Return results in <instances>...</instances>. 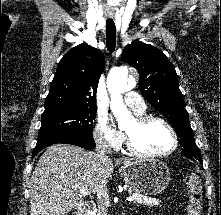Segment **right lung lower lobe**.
<instances>
[{"label": "right lung lower lobe", "instance_id": "obj_1", "mask_svg": "<svg viewBox=\"0 0 221 215\" xmlns=\"http://www.w3.org/2000/svg\"><path fill=\"white\" fill-rule=\"evenodd\" d=\"M56 143L72 144L88 150H91L95 147L92 133L56 136L51 138L38 139L37 144L33 150L32 157H35V155L42 149Z\"/></svg>", "mask_w": 221, "mask_h": 215}]
</instances>
